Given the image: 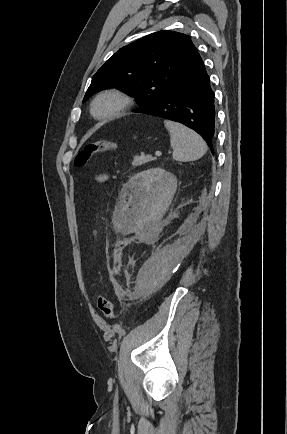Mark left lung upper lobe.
Here are the masks:
<instances>
[{
    "mask_svg": "<svg viewBox=\"0 0 287 434\" xmlns=\"http://www.w3.org/2000/svg\"><path fill=\"white\" fill-rule=\"evenodd\" d=\"M201 59L191 39L162 30L119 49L96 72L83 102L94 93L119 87L138 99L140 108L156 104Z\"/></svg>",
    "mask_w": 287,
    "mask_h": 434,
    "instance_id": "1",
    "label": "left lung upper lobe"
}]
</instances>
